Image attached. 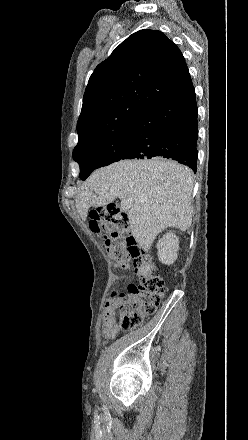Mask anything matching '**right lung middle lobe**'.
Segmentation results:
<instances>
[{"label": "right lung middle lobe", "instance_id": "right-lung-middle-lobe-1", "mask_svg": "<svg viewBox=\"0 0 248 440\" xmlns=\"http://www.w3.org/2000/svg\"><path fill=\"white\" fill-rule=\"evenodd\" d=\"M129 144V131L124 126L74 149L73 159L80 165V178L85 180L93 170L121 160Z\"/></svg>", "mask_w": 248, "mask_h": 440}]
</instances>
